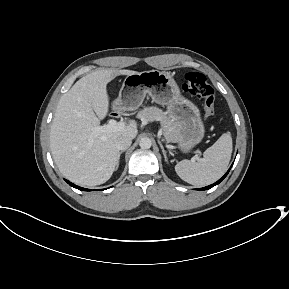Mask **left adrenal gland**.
<instances>
[{"instance_id":"1","label":"left adrenal gland","mask_w":289,"mask_h":289,"mask_svg":"<svg viewBox=\"0 0 289 289\" xmlns=\"http://www.w3.org/2000/svg\"><path fill=\"white\" fill-rule=\"evenodd\" d=\"M158 143H159V145H160V147H161V149H162V152H163V155H164L165 161L168 162V159H167V156H166V151H165L163 145L161 144L160 141H158Z\"/></svg>"}]
</instances>
